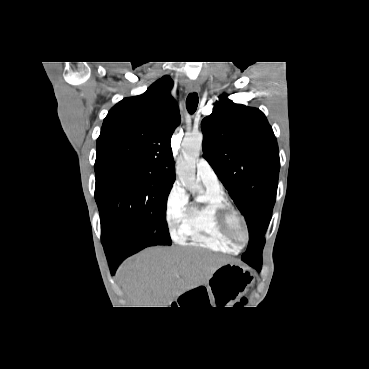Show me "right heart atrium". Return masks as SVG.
<instances>
[{"mask_svg":"<svg viewBox=\"0 0 369 369\" xmlns=\"http://www.w3.org/2000/svg\"><path fill=\"white\" fill-rule=\"evenodd\" d=\"M188 206L186 191L179 183L174 184L168 193L165 206L166 221L172 233H177L176 228L185 217Z\"/></svg>","mask_w":369,"mask_h":369,"instance_id":"d8ad5b80","label":"right heart atrium"}]
</instances>
